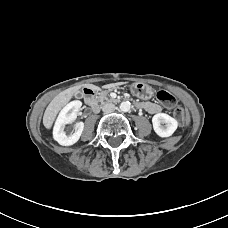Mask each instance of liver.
Segmentation results:
<instances>
[{
	"label": "liver",
	"instance_id": "obj_1",
	"mask_svg": "<svg viewBox=\"0 0 228 228\" xmlns=\"http://www.w3.org/2000/svg\"><path fill=\"white\" fill-rule=\"evenodd\" d=\"M81 87H87L92 90H99V87L92 84H85L83 86H74L60 92L56 97L47 106L44 116H43V125L46 129H50L55 121V118L58 112L62 107L66 105L67 102L71 100L74 94L78 93Z\"/></svg>",
	"mask_w": 228,
	"mask_h": 228
}]
</instances>
